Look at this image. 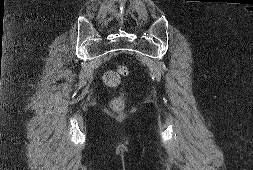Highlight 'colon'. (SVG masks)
Listing matches in <instances>:
<instances>
[{
    "label": "colon",
    "mask_w": 253,
    "mask_h": 170,
    "mask_svg": "<svg viewBox=\"0 0 253 170\" xmlns=\"http://www.w3.org/2000/svg\"><path fill=\"white\" fill-rule=\"evenodd\" d=\"M128 74L127 66L120 64L115 69L110 70L104 75V82L109 86H116L121 82V79ZM121 105L120 101H116L114 106L118 108Z\"/></svg>",
    "instance_id": "colon-1"
}]
</instances>
